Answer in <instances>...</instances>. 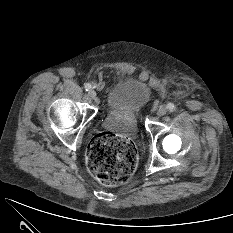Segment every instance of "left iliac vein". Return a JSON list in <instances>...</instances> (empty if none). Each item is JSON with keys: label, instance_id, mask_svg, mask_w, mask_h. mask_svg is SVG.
<instances>
[{"label": "left iliac vein", "instance_id": "4c4485c4", "mask_svg": "<svg viewBox=\"0 0 233 233\" xmlns=\"http://www.w3.org/2000/svg\"><path fill=\"white\" fill-rule=\"evenodd\" d=\"M167 112V107L165 105H161L158 110H157V115L158 116H163Z\"/></svg>", "mask_w": 233, "mask_h": 233}]
</instances>
